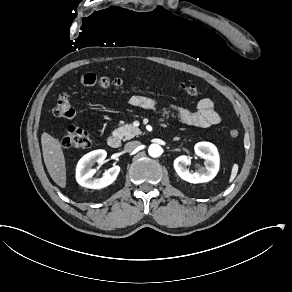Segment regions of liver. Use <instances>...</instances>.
Returning a JSON list of instances; mask_svg holds the SVG:
<instances>
[{
	"mask_svg": "<svg viewBox=\"0 0 292 292\" xmlns=\"http://www.w3.org/2000/svg\"><path fill=\"white\" fill-rule=\"evenodd\" d=\"M43 159L48 173L55 184L65 189L67 185L66 160L59 139L47 132L41 135Z\"/></svg>",
	"mask_w": 292,
	"mask_h": 292,
	"instance_id": "1",
	"label": "liver"
}]
</instances>
